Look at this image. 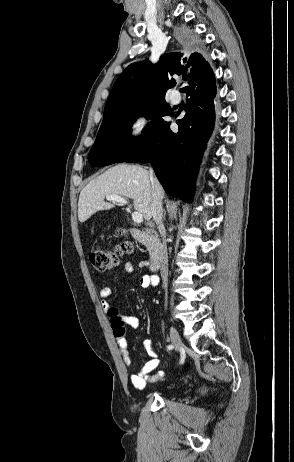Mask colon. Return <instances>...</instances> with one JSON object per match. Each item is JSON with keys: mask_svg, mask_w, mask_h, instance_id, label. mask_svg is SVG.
<instances>
[{"mask_svg": "<svg viewBox=\"0 0 294 462\" xmlns=\"http://www.w3.org/2000/svg\"><path fill=\"white\" fill-rule=\"evenodd\" d=\"M132 251V245L129 242H123L113 250H108L100 244H95L90 250V262L98 271H108L117 265L119 255ZM113 331L124 335V322L116 308L108 311Z\"/></svg>", "mask_w": 294, "mask_h": 462, "instance_id": "5ec220e1", "label": "colon"}]
</instances>
